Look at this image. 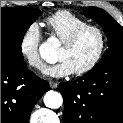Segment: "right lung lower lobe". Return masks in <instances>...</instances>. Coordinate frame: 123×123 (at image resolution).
I'll list each match as a JSON object with an SVG mask.
<instances>
[{"label":"right lung lower lobe","instance_id":"98d812e1","mask_svg":"<svg viewBox=\"0 0 123 123\" xmlns=\"http://www.w3.org/2000/svg\"><path fill=\"white\" fill-rule=\"evenodd\" d=\"M49 90L48 82L23 60L1 54V123H28L30 113Z\"/></svg>","mask_w":123,"mask_h":123}]
</instances>
